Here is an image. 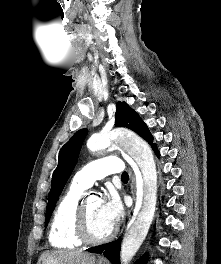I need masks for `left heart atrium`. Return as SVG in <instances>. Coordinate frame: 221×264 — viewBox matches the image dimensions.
Here are the masks:
<instances>
[{"label": "left heart atrium", "instance_id": "obj_1", "mask_svg": "<svg viewBox=\"0 0 221 264\" xmlns=\"http://www.w3.org/2000/svg\"><path fill=\"white\" fill-rule=\"evenodd\" d=\"M101 209L105 218L113 226L122 214V204L116 195H111L108 199L103 201Z\"/></svg>", "mask_w": 221, "mask_h": 264}]
</instances>
